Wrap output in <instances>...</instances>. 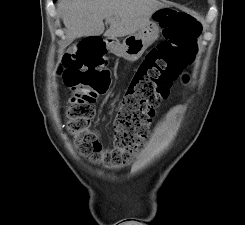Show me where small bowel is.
Segmentation results:
<instances>
[{"label":"small bowel","mask_w":245,"mask_h":225,"mask_svg":"<svg viewBox=\"0 0 245 225\" xmlns=\"http://www.w3.org/2000/svg\"><path fill=\"white\" fill-rule=\"evenodd\" d=\"M115 106V101L114 100H111L109 103H108V107L110 109H113V107ZM175 116H176V109L173 108L169 111L168 113V119L169 121L172 123L175 119Z\"/></svg>","instance_id":"small-bowel-1"}]
</instances>
